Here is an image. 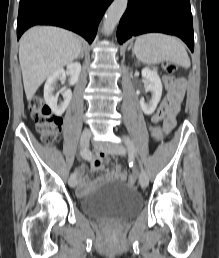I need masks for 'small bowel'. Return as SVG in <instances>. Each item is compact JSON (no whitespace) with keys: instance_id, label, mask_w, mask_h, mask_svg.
Masks as SVG:
<instances>
[{"instance_id":"1","label":"small bowel","mask_w":219,"mask_h":258,"mask_svg":"<svg viewBox=\"0 0 219 258\" xmlns=\"http://www.w3.org/2000/svg\"><path fill=\"white\" fill-rule=\"evenodd\" d=\"M163 81L167 87V89H164L166 96H163V100L159 102L160 104H156L154 117L166 118L165 120L164 118H151L150 122L165 123V128L163 129L166 133H169L175 127L179 105L183 101L185 79L182 77L165 76ZM89 160L91 170L95 172L103 168V163L109 160V156L104 152H94ZM83 171V168H79L76 172L79 177V194H85L90 188V181L83 176ZM128 174L125 167H114L113 171L103 174V178L100 181L103 182L106 179H128Z\"/></svg>"}]
</instances>
